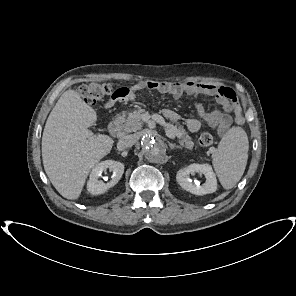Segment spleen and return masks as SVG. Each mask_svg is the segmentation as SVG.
<instances>
[{"label":"spleen","mask_w":296,"mask_h":296,"mask_svg":"<svg viewBox=\"0 0 296 296\" xmlns=\"http://www.w3.org/2000/svg\"><path fill=\"white\" fill-rule=\"evenodd\" d=\"M249 142L246 132L232 127L222 137L212 164L225 189L233 188L241 179L248 160Z\"/></svg>","instance_id":"spleen-1"}]
</instances>
